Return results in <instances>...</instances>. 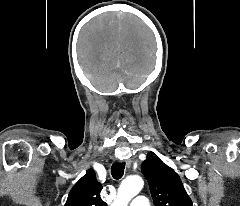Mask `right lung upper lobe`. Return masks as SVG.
I'll return each mask as SVG.
<instances>
[{
  "label": "right lung upper lobe",
  "instance_id": "1",
  "mask_svg": "<svg viewBox=\"0 0 240 206\" xmlns=\"http://www.w3.org/2000/svg\"><path fill=\"white\" fill-rule=\"evenodd\" d=\"M101 190L94 170H89L71 189L64 206H106L100 198Z\"/></svg>",
  "mask_w": 240,
  "mask_h": 206
}]
</instances>
